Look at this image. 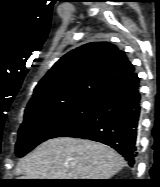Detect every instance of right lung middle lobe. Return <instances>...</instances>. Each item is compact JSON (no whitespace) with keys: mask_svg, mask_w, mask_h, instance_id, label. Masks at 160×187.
I'll list each match as a JSON object with an SVG mask.
<instances>
[{"mask_svg":"<svg viewBox=\"0 0 160 187\" xmlns=\"http://www.w3.org/2000/svg\"><path fill=\"white\" fill-rule=\"evenodd\" d=\"M99 99H75L25 111L18 131L16 155L23 157L48 139L60 137L89 116Z\"/></svg>","mask_w":160,"mask_h":187,"instance_id":"dd1d6c3e","label":"right lung middle lobe"}]
</instances>
